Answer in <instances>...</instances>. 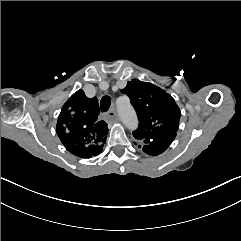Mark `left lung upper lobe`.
Segmentation results:
<instances>
[{
    "label": "left lung upper lobe",
    "instance_id": "5c2ea615",
    "mask_svg": "<svg viewBox=\"0 0 241 241\" xmlns=\"http://www.w3.org/2000/svg\"><path fill=\"white\" fill-rule=\"evenodd\" d=\"M135 108L139 126L134 138L147 154H159L167 146V136L178 130L180 110L174 99L149 82L133 79L121 90ZM136 144V143H135Z\"/></svg>",
    "mask_w": 241,
    "mask_h": 241
}]
</instances>
